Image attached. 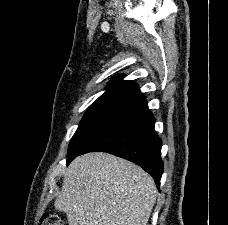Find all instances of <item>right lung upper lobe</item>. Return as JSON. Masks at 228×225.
<instances>
[{"label":"right lung upper lobe","mask_w":228,"mask_h":225,"mask_svg":"<svg viewBox=\"0 0 228 225\" xmlns=\"http://www.w3.org/2000/svg\"><path fill=\"white\" fill-rule=\"evenodd\" d=\"M123 76H116L114 77L109 84L110 85H124L127 87L137 88L139 89L138 85L133 81H122Z\"/></svg>","instance_id":"right-lung-upper-lobe-1"}]
</instances>
